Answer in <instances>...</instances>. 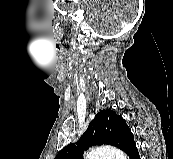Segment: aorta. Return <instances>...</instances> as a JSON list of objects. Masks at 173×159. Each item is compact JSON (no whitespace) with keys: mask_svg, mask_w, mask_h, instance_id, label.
<instances>
[{"mask_svg":"<svg viewBox=\"0 0 173 159\" xmlns=\"http://www.w3.org/2000/svg\"><path fill=\"white\" fill-rule=\"evenodd\" d=\"M85 159H127V157L121 150L106 146L92 149Z\"/></svg>","mask_w":173,"mask_h":159,"instance_id":"aorta-1","label":"aorta"}]
</instances>
